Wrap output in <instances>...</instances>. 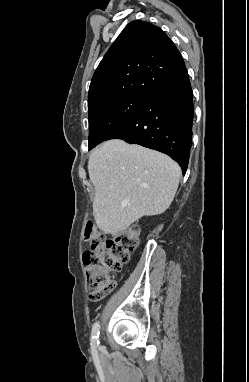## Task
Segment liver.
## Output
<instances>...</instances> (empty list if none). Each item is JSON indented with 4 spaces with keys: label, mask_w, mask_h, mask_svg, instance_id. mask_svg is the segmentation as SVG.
I'll return each mask as SVG.
<instances>
[{
    "label": "liver",
    "mask_w": 249,
    "mask_h": 382,
    "mask_svg": "<svg viewBox=\"0 0 249 382\" xmlns=\"http://www.w3.org/2000/svg\"><path fill=\"white\" fill-rule=\"evenodd\" d=\"M88 172L95 187L94 219L105 234L165 212L181 177L179 165L167 155L120 139L92 151Z\"/></svg>",
    "instance_id": "obj_1"
}]
</instances>
